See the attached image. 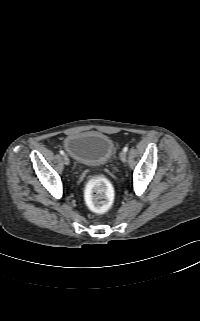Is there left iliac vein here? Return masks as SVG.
<instances>
[{
  "instance_id": "left-iliac-vein-1",
  "label": "left iliac vein",
  "mask_w": 200,
  "mask_h": 321,
  "mask_svg": "<svg viewBox=\"0 0 200 321\" xmlns=\"http://www.w3.org/2000/svg\"><path fill=\"white\" fill-rule=\"evenodd\" d=\"M126 159H127L126 153H125L124 151H122V152L120 153V160H121L122 162H126Z\"/></svg>"
}]
</instances>
